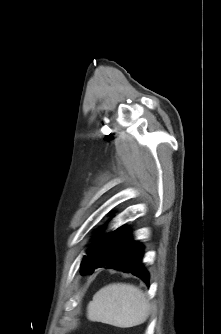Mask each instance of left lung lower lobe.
<instances>
[{"mask_svg": "<svg viewBox=\"0 0 221 334\" xmlns=\"http://www.w3.org/2000/svg\"><path fill=\"white\" fill-rule=\"evenodd\" d=\"M142 245L133 241L126 229L117 230L103 236L93 252L94 261L81 268V274L92 273L101 267L113 268L132 273L149 284V273L142 265Z\"/></svg>", "mask_w": 221, "mask_h": 334, "instance_id": "obj_1", "label": "left lung lower lobe"}]
</instances>
